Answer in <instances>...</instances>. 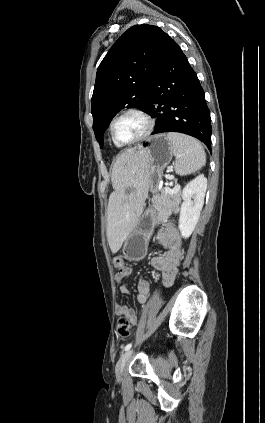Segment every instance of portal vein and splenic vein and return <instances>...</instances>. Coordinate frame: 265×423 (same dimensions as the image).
Segmentation results:
<instances>
[{
  "mask_svg": "<svg viewBox=\"0 0 265 423\" xmlns=\"http://www.w3.org/2000/svg\"><path fill=\"white\" fill-rule=\"evenodd\" d=\"M165 190L171 193H176L178 191V187L176 186L174 189H170L169 187H166Z\"/></svg>",
  "mask_w": 265,
  "mask_h": 423,
  "instance_id": "18ae733b",
  "label": "portal vein and splenic vein"
}]
</instances>
